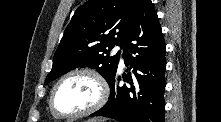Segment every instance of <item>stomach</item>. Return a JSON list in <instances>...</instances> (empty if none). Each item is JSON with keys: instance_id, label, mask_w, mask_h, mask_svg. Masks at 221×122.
Returning <instances> with one entry per match:
<instances>
[{"instance_id": "0dacf381", "label": "stomach", "mask_w": 221, "mask_h": 122, "mask_svg": "<svg viewBox=\"0 0 221 122\" xmlns=\"http://www.w3.org/2000/svg\"><path fill=\"white\" fill-rule=\"evenodd\" d=\"M86 122H107V119L105 118H92L87 120Z\"/></svg>"}]
</instances>
